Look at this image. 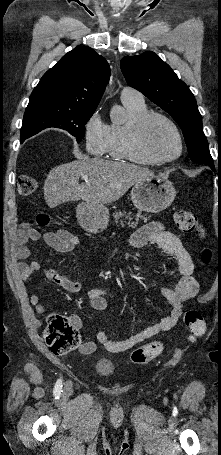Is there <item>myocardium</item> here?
I'll list each match as a JSON object with an SVG mask.
<instances>
[{
	"instance_id": "1",
	"label": "myocardium",
	"mask_w": 221,
	"mask_h": 455,
	"mask_svg": "<svg viewBox=\"0 0 221 455\" xmlns=\"http://www.w3.org/2000/svg\"><path fill=\"white\" fill-rule=\"evenodd\" d=\"M159 119L167 123L173 132L175 133V136L178 141L179 149L178 153L172 157L169 158H158L154 156L151 151L147 148L146 143H145V135H146V130L148 126L150 125L151 122L154 120ZM129 143L132 148V150L139 154L140 156L144 157L147 159L149 162L153 164H165V163H170L173 162L177 159H179L183 153L184 150V141L182 134L176 125V123L169 118L168 116L158 113V112H147L143 116H141L138 120H136L129 132Z\"/></svg>"
}]
</instances>
